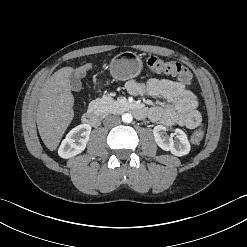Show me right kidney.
<instances>
[{"label": "right kidney", "mask_w": 247, "mask_h": 247, "mask_svg": "<svg viewBox=\"0 0 247 247\" xmlns=\"http://www.w3.org/2000/svg\"><path fill=\"white\" fill-rule=\"evenodd\" d=\"M90 133L91 126L89 124H81L73 128L60 145L59 156L68 159L80 154L86 148Z\"/></svg>", "instance_id": "obj_1"}]
</instances>
